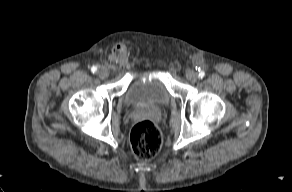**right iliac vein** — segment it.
Listing matches in <instances>:
<instances>
[{
    "instance_id": "1",
    "label": "right iliac vein",
    "mask_w": 292,
    "mask_h": 192,
    "mask_svg": "<svg viewBox=\"0 0 292 192\" xmlns=\"http://www.w3.org/2000/svg\"><path fill=\"white\" fill-rule=\"evenodd\" d=\"M98 75L101 79H106L108 76H109V72L107 69L105 68H101L99 71H98Z\"/></svg>"
}]
</instances>
